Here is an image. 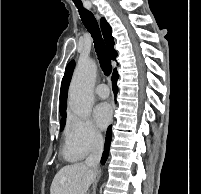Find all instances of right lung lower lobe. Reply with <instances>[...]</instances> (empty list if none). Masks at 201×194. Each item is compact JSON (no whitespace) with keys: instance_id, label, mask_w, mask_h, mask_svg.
I'll use <instances>...</instances> for the list:
<instances>
[{"instance_id":"right-lung-lower-lobe-1","label":"right lung lower lobe","mask_w":201,"mask_h":194,"mask_svg":"<svg viewBox=\"0 0 201 194\" xmlns=\"http://www.w3.org/2000/svg\"><path fill=\"white\" fill-rule=\"evenodd\" d=\"M118 77H119L118 73L115 70L113 72V75H112L113 91H114L115 95L118 92V88L116 86V82L118 80ZM110 142H111V126L108 128L107 133H106V141H105V146H104V152H103L102 159H101L102 164L105 163V161H106V159L108 157Z\"/></svg>"}]
</instances>
